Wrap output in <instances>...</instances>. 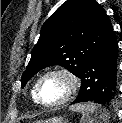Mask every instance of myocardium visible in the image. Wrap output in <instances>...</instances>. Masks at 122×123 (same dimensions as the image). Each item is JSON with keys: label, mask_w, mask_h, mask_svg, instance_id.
<instances>
[{"label": "myocardium", "mask_w": 122, "mask_h": 123, "mask_svg": "<svg viewBox=\"0 0 122 123\" xmlns=\"http://www.w3.org/2000/svg\"><path fill=\"white\" fill-rule=\"evenodd\" d=\"M51 75H59V76L64 77L68 83V90H67L66 94L58 101H55L52 103H46L41 98V93H40L41 85H42L43 81ZM79 87H80V79L75 72H73L72 70H70L68 68H63V67L54 68V69H51V70L45 72L37 81L36 100L39 104H41L45 107H50V108L58 107V106L65 104L66 102H68L78 92Z\"/></svg>", "instance_id": "1"}]
</instances>
